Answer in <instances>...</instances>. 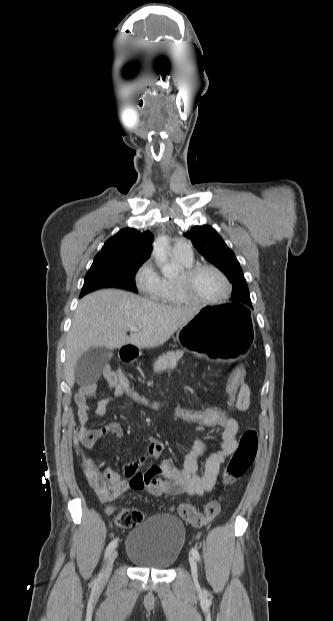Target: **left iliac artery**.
<instances>
[{"label": "left iliac artery", "instance_id": "1", "mask_svg": "<svg viewBox=\"0 0 333 621\" xmlns=\"http://www.w3.org/2000/svg\"><path fill=\"white\" fill-rule=\"evenodd\" d=\"M191 553H192V555L194 556V558H195L197 561H199V560H200V554H199V552L197 551V549L192 548V549H191Z\"/></svg>", "mask_w": 333, "mask_h": 621}]
</instances>
